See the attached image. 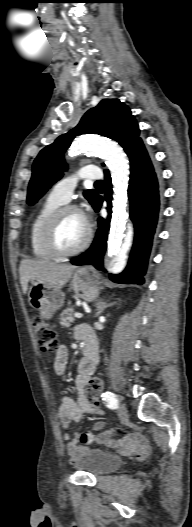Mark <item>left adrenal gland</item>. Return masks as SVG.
<instances>
[{"instance_id": "left-adrenal-gland-1", "label": "left adrenal gland", "mask_w": 192, "mask_h": 527, "mask_svg": "<svg viewBox=\"0 0 192 527\" xmlns=\"http://www.w3.org/2000/svg\"><path fill=\"white\" fill-rule=\"evenodd\" d=\"M115 303H109L107 304L106 302H104L103 300H100L96 303V308H97V312H96V317L99 316L106 308L114 305Z\"/></svg>"}]
</instances>
